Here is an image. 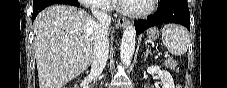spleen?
Listing matches in <instances>:
<instances>
[{"instance_id":"3e777b00","label":"spleen","mask_w":227,"mask_h":88,"mask_svg":"<svg viewBox=\"0 0 227 88\" xmlns=\"http://www.w3.org/2000/svg\"><path fill=\"white\" fill-rule=\"evenodd\" d=\"M162 41L171 54L181 56L188 50L189 33L182 26L167 24L162 29Z\"/></svg>"}]
</instances>
